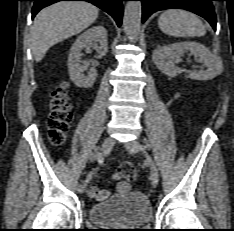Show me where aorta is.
I'll return each mask as SVG.
<instances>
[{
    "label": "aorta",
    "instance_id": "1",
    "mask_svg": "<svg viewBox=\"0 0 234 231\" xmlns=\"http://www.w3.org/2000/svg\"><path fill=\"white\" fill-rule=\"evenodd\" d=\"M142 5L140 1H128L123 16V29L132 42L138 39L141 28Z\"/></svg>",
    "mask_w": 234,
    "mask_h": 231
}]
</instances>
